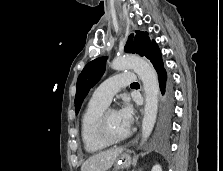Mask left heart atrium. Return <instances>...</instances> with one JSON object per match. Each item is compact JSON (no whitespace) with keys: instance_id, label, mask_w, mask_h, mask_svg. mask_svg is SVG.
Instances as JSON below:
<instances>
[{"instance_id":"left-heart-atrium-1","label":"left heart atrium","mask_w":223,"mask_h":171,"mask_svg":"<svg viewBox=\"0 0 223 171\" xmlns=\"http://www.w3.org/2000/svg\"><path fill=\"white\" fill-rule=\"evenodd\" d=\"M119 117L125 124V126L130 129L132 123H133V110L131 106L124 105L118 112Z\"/></svg>"}]
</instances>
